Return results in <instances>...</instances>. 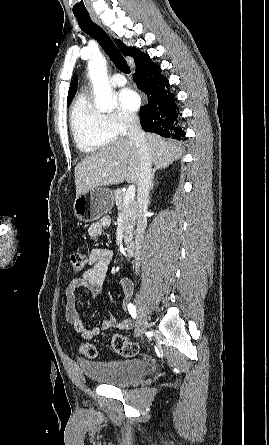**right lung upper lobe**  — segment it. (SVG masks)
I'll return each mask as SVG.
<instances>
[{
  "label": "right lung upper lobe",
  "instance_id": "cb5924a9",
  "mask_svg": "<svg viewBox=\"0 0 269 445\" xmlns=\"http://www.w3.org/2000/svg\"><path fill=\"white\" fill-rule=\"evenodd\" d=\"M115 43L118 46L119 50L122 52V54H124L125 56H131L134 58L136 65L149 57L148 54L141 52L136 47H126L125 44L119 39H116ZM77 84H78V77L76 76L74 78V80L72 81L70 88H69L68 101L72 100V98L76 92Z\"/></svg>",
  "mask_w": 269,
  "mask_h": 445
}]
</instances>
